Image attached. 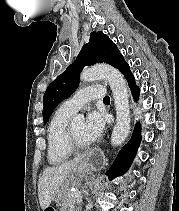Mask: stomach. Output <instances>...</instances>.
<instances>
[{
    "mask_svg": "<svg viewBox=\"0 0 179 211\" xmlns=\"http://www.w3.org/2000/svg\"><path fill=\"white\" fill-rule=\"evenodd\" d=\"M88 167H89L88 160L83 161L82 164L76 170H74L71 176L67 179L66 183L63 186L62 192L64 190H68L70 186H76V187L80 186L81 181L84 178Z\"/></svg>",
    "mask_w": 179,
    "mask_h": 211,
    "instance_id": "obj_1",
    "label": "stomach"
}]
</instances>
